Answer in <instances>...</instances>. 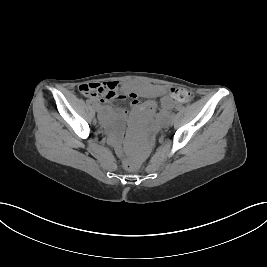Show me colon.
Masks as SVG:
<instances>
[{
  "mask_svg": "<svg viewBox=\"0 0 267 267\" xmlns=\"http://www.w3.org/2000/svg\"><path fill=\"white\" fill-rule=\"evenodd\" d=\"M99 84L100 85L95 83L85 84L84 88L80 92L86 97H100L105 100H115L120 97L116 88L106 87L103 83ZM172 96L179 103H187L193 99V93L184 88L174 89ZM137 166L138 164L126 163V168L129 170H133Z\"/></svg>",
  "mask_w": 267,
  "mask_h": 267,
  "instance_id": "obj_1",
  "label": "colon"
}]
</instances>
